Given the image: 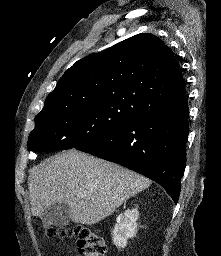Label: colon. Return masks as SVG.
Segmentation results:
<instances>
[{"label": "colon", "instance_id": "colon-1", "mask_svg": "<svg viewBox=\"0 0 221 256\" xmlns=\"http://www.w3.org/2000/svg\"><path fill=\"white\" fill-rule=\"evenodd\" d=\"M46 232L51 238L75 235L80 256H106L107 247L104 239L89 228L80 227L75 231L51 228Z\"/></svg>", "mask_w": 221, "mask_h": 256}]
</instances>
